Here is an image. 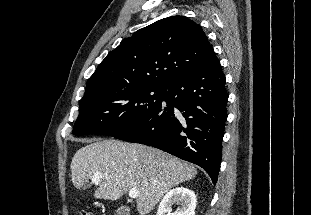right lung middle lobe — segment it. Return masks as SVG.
<instances>
[{"instance_id": "right-lung-middle-lobe-1", "label": "right lung middle lobe", "mask_w": 311, "mask_h": 215, "mask_svg": "<svg viewBox=\"0 0 311 215\" xmlns=\"http://www.w3.org/2000/svg\"><path fill=\"white\" fill-rule=\"evenodd\" d=\"M163 87H133L81 99L73 134L115 136L150 115L161 104Z\"/></svg>"}]
</instances>
